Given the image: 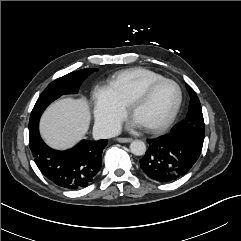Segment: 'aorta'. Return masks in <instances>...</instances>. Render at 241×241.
Returning a JSON list of instances; mask_svg holds the SVG:
<instances>
[{
  "label": "aorta",
  "mask_w": 241,
  "mask_h": 241,
  "mask_svg": "<svg viewBox=\"0 0 241 241\" xmlns=\"http://www.w3.org/2000/svg\"><path fill=\"white\" fill-rule=\"evenodd\" d=\"M130 151L136 156L144 155L146 152V145L141 140H134L130 144Z\"/></svg>",
  "instance_id": "aorta-1"
}]
</instances>
